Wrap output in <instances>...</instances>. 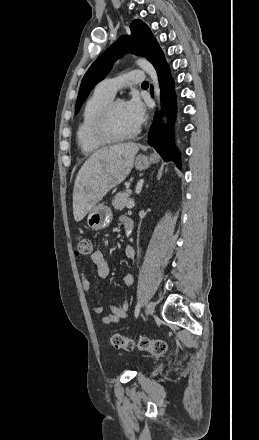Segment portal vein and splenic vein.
<instances>
[{"instance_id": "18ae733b", "label": "portal vein and splenic vein", "mask_w": 259, "mask_h": 440, "mask_svg": "<svg viewBox=\"0 0 259 440\" xmlns=\"http://www.w3.org/2000/svg\"><path fill=\"white\" fill-rule=\"evenodd\" d=\"M134 206H135V202H134V200H129L128 203H127V205H126V207H127L128 209H131V208H133Z\"/></svg>"}]
</instances>
